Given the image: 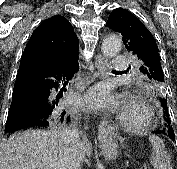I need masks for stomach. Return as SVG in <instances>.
Returning a JSON list of instances; mask_svg holds the SVG:
<instances>
[{"instance_id": "1", "label": "stomach", "mask_w": 177, "mask_h": 169, "mask_svg": "<svg viewBox=\"0 0 177 169\" xmlns=\"http://www.w3.org/2000/svg\"><path fill=\"white\" fill-rule=\"evenodd\" d=\"M101 150H102L103 156L107 160H113L118 155V148L112 142H104V143H102Z\"/></svg>"}]
</instances>
